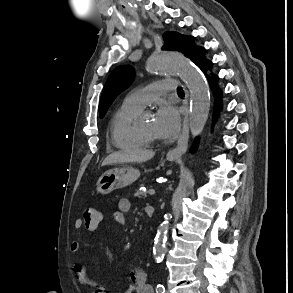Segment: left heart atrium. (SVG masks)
<instances>
[{"instance_id": "39dd6f15", "label": "left heart atrium", "mask_w": 293, "mask_h": 293, "mask_svg": "<svg viewBox=\"0 0 293 293\" xmlns=\"http://www.w3.org/2000/svg\"><path fill=\"white\" fill-rule=\"evenodd\" d=\"M155 130L158 137H174L180 127V112L173 104L165 103L157 111Z\"/></svg>"}]
</instances>
